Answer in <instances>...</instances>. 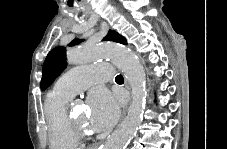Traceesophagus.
I'll use <instances>...</instances> for the list:
<instances>
[{"instance_id": "esophagus-1", "label": "esophagus", "mask_w": 227, "mask_h": 149, "mask_svg": "<svg viewBox=\"0 0 227 149\" xmlns=\"http://www.w3.org/2000/svg\"><path fill=\"white\" fill-rule=\"evenodd\" d=\"M128 116V111H123V114L120 115L121 119H125Z\"/></svg>"}]
</instances>
